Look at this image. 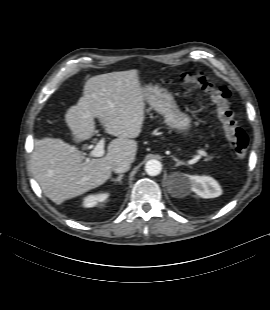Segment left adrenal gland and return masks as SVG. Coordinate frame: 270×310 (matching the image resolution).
Wrapping results in <instances>:
<instances>
[{
	"instance_id": "left-adrenal-gland-1",
	"label": "left adrenal gland",
	"mask_w": 270,
	"mask_h": 310,
	"mask_svg": "<svg viewBox=\"0 0 270 310\" xmlns=\"http://www.w3.org/2000/svg\"><path fill=\"white\" fill-rule=\"evenodd\" d=\"M173 160L176 162L175 166H180V165H187L185 162L180 161L178 158L172 156Z\"/></svg>"
}]
</instances>
